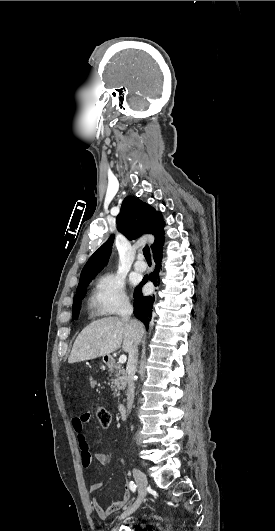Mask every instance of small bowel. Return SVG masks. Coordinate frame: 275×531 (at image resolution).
Instances as JSON below:
<instances>
[{
  "mask_svg": "<svg viewBox=\"0 0 275 531\" xmlns=\"http://www.w3.org/2000/svg\"><path fill=\"white\" fill-rule=\"evenodd\" d=\"M87 380L88 382H90L88 385L89 390L92 392L97 391L99 388V385L97 382H95L96 380L95 375L93 374L88 375ZM89 420H90V414L88 412L81 413L78 416H75L74 418H72L71 420V426L78 437V442H79L80 448L82 449V454H81L82 464L84 465L85 463H87L90 465L93 460L103 465L108 464L110 461L109 453H96V452L91 453L88 450V442L85 436L84 429H85V425L89 422ZM85 449L88 451H84ZM101 487H102L101 482L99 481L93 482L89 486V492L94 493L98 491ZM130 498H131V490L128 486H126L123 489L120 497L114 503H112L111 506L104 508L94 498L90 500V506L92 510L96 512L97 516L100 519L106 520L109 518V516L113 512H116L120 510L121 508H123L130 501Z\"/></svg>",
  "mask_w": 275,
  "mask_h": 531,
  "instance_id": "1",
  "label": "small bowel"
}]
</instances>
